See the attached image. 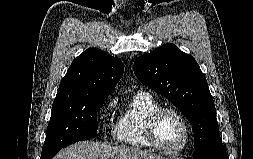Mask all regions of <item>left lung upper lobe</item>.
Masks as SVG:
<instances>
[{"mask_svg":"<svg viewBox=\"0 0 253 159\" xmlns=\"http://www.w3.org/2000/svg\"><path fill=\"white\" fill-rule=\"evenodd\" d=\"M134 73L145 85L171 101L194 132V159H213L223 147L216 109L205 75L195 59L173 44L138 57Z\"/></svg>","mask_w":253,"mask_h":159,"instance_id":"obj_1","label":"left lung upper lobe"}]
</instances>
